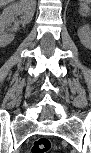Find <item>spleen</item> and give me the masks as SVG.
I'll return each mask as SVG.
<instances>
[{
    "instance_id": "spleen-1",
    "label": "spleen",
    "mask_w": 91,
    "mask_h": 153,
    "mask_svg": "<svg viewBox=\"0 0 91 153\" xmlns=\"http://www.w3.org/2000/svg\"><path fill=\"white\" fill-rule=\"evenodd\" d=\"M88 2L89 1H85L84 3H81V5H80V13L82 16H87L89 13Z\"/></svg>"
}]
</instances>
